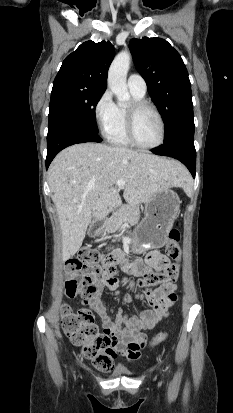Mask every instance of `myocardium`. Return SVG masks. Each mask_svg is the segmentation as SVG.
<instances>
[{"instance_id": "obj_1", "label": "myocardium", "mask_w": 233, "mask_h": 413, "mask_svg": "<svg viewBox=\"0 0 233 413\" xmlns=\"http://www.w3.org/2000/svg\"><path fill=\"white\" fill-rule=\"evenodd\" d=\"M144 109H150L152 110L155 115L157 116L160 126H161V135H160V139L156 144L153 145H144L142 143H140L136 137V120H137V116L138 114L144 110ZM126 131H127V136L128 139L130 140V142L132 143V145H134L137 148L140 149H145V150H152V149H156L158 147H160L164 141H165V137H166V125H165V121L163 119L162 114L160 113V111L158 110V108L145 100H137L134 101L128 108L126 111Z\"/></svg>"}]
</instances>
